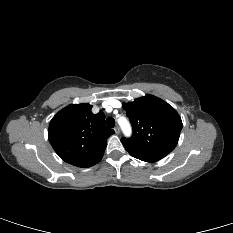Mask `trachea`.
Segmentation results:
<instances>
[{"mask_svg": "<svg viewBox=\"0 0 233 233\" xmlns=\"http://www.w3.org/2000/svg\"><path fill=\"white\" fill-rule=\"evenodd\" d=\"M106 124L108 127L113 128L115 125V120L113 118H107L106 119Z\"/></svg>", "mask_w": 233, "mask_h": 233, "instance_id": "obj_1", "label": "trachea"}]
</instances>
